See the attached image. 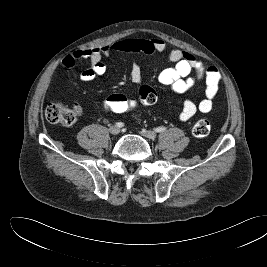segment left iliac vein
Here are the masks:
<instances>
[{"label": "left iliac vein", "mask_w": 267, "mask_h": 267, "mask_svg": "<svg viewBox=\"0 0 267 267\" xmlns=\"http://www.w3.org/2000/svg\"><path fill=\"white\" fill-rule=\"evenodd\" d=\"M140 134L148 139H155L157 134L154 131H149V130H141Z\"/></svg>", "instance_id": "left-iliac-vein-1"}]
</instances>
